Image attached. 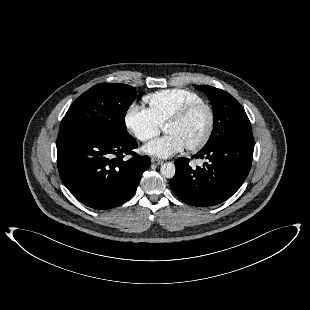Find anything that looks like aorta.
<instances>
[{"label":"aorta","mask_w":310,"mask_h":310,"mask_svg":"<svg viewBox=\"0 0 310 310\" xmlns=\"http://www.w3.org/2000/svg\"><path fill=\"white\" fill-rule=\"evenodd\" d=\"M160 172L165 178H173L176 172L175 165L172 162L164 163L160 168Z\"/></svg>","instance_id":"762f6f07"}]
</instances>
